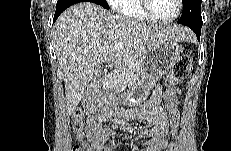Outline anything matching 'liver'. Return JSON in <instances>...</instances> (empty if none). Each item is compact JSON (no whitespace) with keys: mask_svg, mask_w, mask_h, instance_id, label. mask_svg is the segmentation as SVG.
Wrapping results in <instances>:
<instances>
[{"mask_svg":"<svg viewBox=\"0 0 231 151\" xmlns=\"http://www.w3.org/2000/svg\"><path fill=\"white\" fill-rule=\"evenodd\" d=\"M192 36L186 27L146 25L92 2L68 7L53 27L54 48L64 73L67 113L76 110L99 65H124L141 59L158 44L186 41ZM116 43L123 47L115 49Z\"/></svg>","mask_w":231,"mask_h":151,"instance_id":"6515ba94","label":"liver"}]
</instances>
